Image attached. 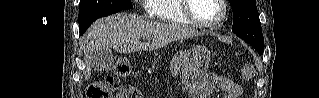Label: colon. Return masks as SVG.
<instances>
[{
	"mask_svg": "<svg viewBox=\"0 0 319 98\" xmlns=\"http://www.w3.org/2000/svg\"><path fill=\"white\" fill-rule=\"evenodd\" d=\"M130 64L119 61L115 66V76H107L102 81H96L87 88V98H139V94L134 91L124 93L122 88L117 85L118 78H125L130 74Z\"/></svg>",
	"mask_w": 319,
	"mask_h": 98,
	"instance_id": "5ec220e1",
	"label": "colon"
}]
</instances>
